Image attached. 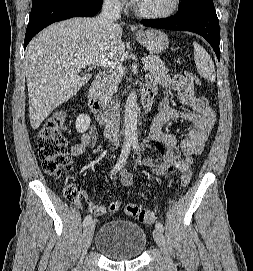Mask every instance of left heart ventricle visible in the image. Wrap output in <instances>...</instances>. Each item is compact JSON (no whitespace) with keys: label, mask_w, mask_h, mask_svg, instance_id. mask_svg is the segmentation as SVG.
<instances>
[{"label":"left heart ventricle","mask_w":253,"mask_h":271,"mask_svg":"<svg viewBox=\"0 0 253 271\" xmlns=\"http://www.w3.org/2000/svg\"><path fill=\"white\" fill-rule=\"evenodd\" d=\"M138 5L148 12H163L168 10L173 0H136Z\"/></svg>","instance_id":"left-heart-ventricle-1"}]
</instances>
